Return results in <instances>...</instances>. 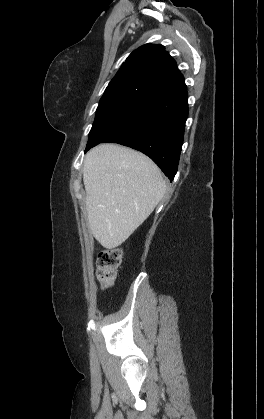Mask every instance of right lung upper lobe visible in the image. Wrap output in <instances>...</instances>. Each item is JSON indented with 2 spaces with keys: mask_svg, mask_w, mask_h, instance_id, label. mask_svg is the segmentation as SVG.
I'll return each mask as SVG.
<instances>
[{
  "mask_svg": "<svg viewBox=\"0 0 264 419\" xmlns=\"http://www.w3.org/2000/svg\"><path fill=\"white\" fill-rule=\"evenodd\" d=\"M129 86L152 97L186 89L175 60L162 45L145 44L134 50L108 87Z\"/></svg>",
  "mask_w": 264,
  "mask_h": 419,
  "instance_id": "cb5924a9",
  "label": "right lung upper lobe"
}]
</instances>
